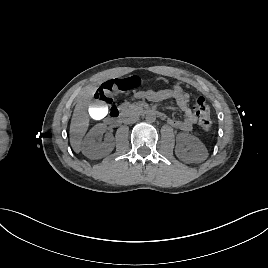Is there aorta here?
I'll use <instances>...</instances> for the list:
<instances>
[{
  "label": "aorta",
  "mask_w": 268,
  "mask_h": 268,
  "mask_svg": "<svg viewBox=\"0 0 268 268\" xmlns=\"http://www.w3.org/2000/svg\"><path fill=\"white\" fill-rule=\"evenodd\" d=\"M145 119L148 123H153L156 120V115L153 112H148L145 116Z\"/></svg>",
  "instance_id": "1"
}]
</instances>
